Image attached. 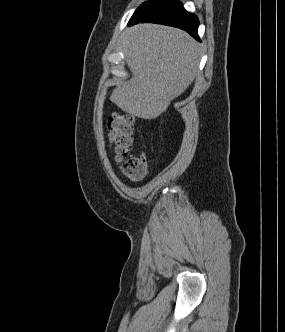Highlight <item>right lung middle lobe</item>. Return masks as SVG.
I'll return each mask as SVG.
<instances>
[{"instance_id":"obj_1","label":"right lung middle lobe","mask_w":285,"mask_h":332,"mask_svg":"<svg viewBox=\"0 0 285 332\" xmlns=\"http://www.w3.org/2000/svg\"><path fill=\"white\" fill-rule=\"evenodd\" d=\"M149 1H150V0H149ZM145 5H146V4L143 3L138 9H140L141 7H143V6H145ZM138 9H137V10H138ZM137 10H136V11H137Z\"/></svg>"}]
</instances>
